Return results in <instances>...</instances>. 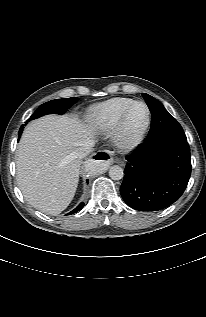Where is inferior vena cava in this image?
<instances>
[{
    "mask_svg": "<svg viewBox=\"0 0 206 317\" xmlns=\"http://www.w3.org/2000/svg\"><path fill=\"white\" fill-rule=\"evenodd\" d=\"M94 143L95 142L93 140L85 141L84 143H82L81 147H79L77 151L78 157L83 158L87 156L90 152H92Z\"/></svg>",
    "mask_w": 206,
    "mask_h": 317,
    "instance_id": "obj_1",
    "label": "inferior vena cava"
}]
</instances>
